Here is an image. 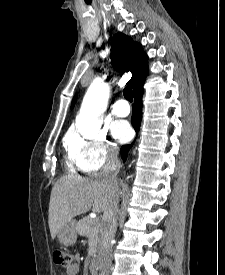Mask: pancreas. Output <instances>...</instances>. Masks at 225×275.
<instances>
[{"label": "pancreas", "mask_w": 225, "mask_h": 275, "mask_svg": "<svg viewBox=\"0 0 225 275\" xmlns=\"http://www.w3.org/2000/svg\"><path fill=\"white\" fill-rule=\"evenodd\" d=\"M100 223L97 219L85 217L76 224V231L81 236L88 238V255L93 256L99 241Z\"/></svg>", "instance_id": "1"}]
</instances>
